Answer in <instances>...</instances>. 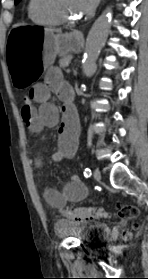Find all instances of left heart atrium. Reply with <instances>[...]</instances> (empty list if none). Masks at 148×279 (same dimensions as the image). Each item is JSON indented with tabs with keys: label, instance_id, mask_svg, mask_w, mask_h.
Returning a JSON list of instances; mask_svg holds the SVG:
<instances>
[{
	"label": "left heart atrium",
	"instance_id": "39dd6f15",
	"mask_svg": "<svg viewBox=\"0 0 148 279\" xmlns=\"http://www.w3.org/2000/svg\"><path fill=\"white\" fill-rule=\"evenodd\" d=\"M75 1L79 13L83 15L91 14L95 10L99 2V0H75Z\"/></svg>",
	"mask_w": 148,
	"mask_h": 279
}]
</instances>
